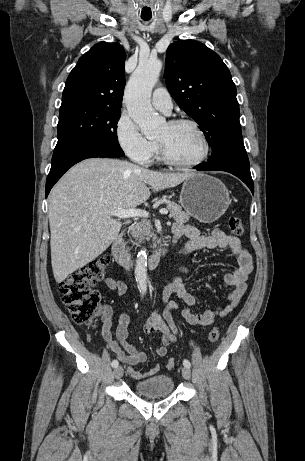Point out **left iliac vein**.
Returning a JSON list of instances; mask_svg holds the SVG:
<instances>
[{
	"label": "left iliac vein",
	"instance_id": "obj_1",
	"mask_svg": "<svg viewBox=\"0 0 305 461\" xmlns=\"http://www.w3.org/2000/svg\"><path fill=\"white\" fill-rule=\"evenodd\" d=\"M182 375L186 380H189L191 377V370L188 367H183L182 368Z\"/></svg>",
	"mask_w": 305,
	"mask_h": 461
}]
</instances>
